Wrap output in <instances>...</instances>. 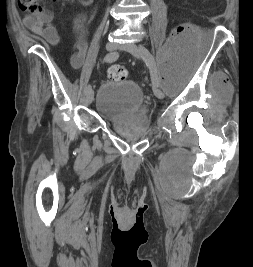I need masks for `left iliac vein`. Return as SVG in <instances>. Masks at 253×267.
Masks as SVG:
<instances>
[{
    "label": "left iliac vein",
    "instance_id": "1",
    "mask_svg": "<svg viewBox=\"0 0 253 267\" xmlns=\"http://www.w3.org/2000/svg\"><path fill=\"white\" fill-rule=\"evenodd\" d=\"M121 47L125 51L129 52L130 54H132L135 58L143 57V54H142L141 50L134 43L123 44ZM147 53H148V56L153 57V55L149 52V50H147ZM153 91H154V94L156 95V97H158L159 99H163L164 98L163 91L161 89H159L158 87H154Z\"/></svg>",
    "mask_w": 253,
    "mask_h": 267
}]
</instances>
